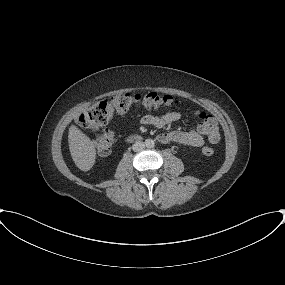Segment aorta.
<instances>
[{
  "instance_id": "762f6f07",
  "label": "aorta",
  "mask_w": 285,
  "mask_h": 285,
  "mask_svg": "<svg viewBox=\"0 0 285 285\" xmlns=\"http://www.w3.org/2000/svg\"><path fill=\"white\" fill-rule=\"evenodd\" d=\"M154 145H155L154 140H152V139H146L145 140V146L147 148H152V147H154Z\"/></svg>"
}]
</instances>
